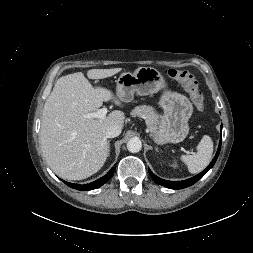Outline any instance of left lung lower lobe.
<instances>
[{
	"label": "left lung lower lobe",
	"mask_w": 253,
	"mask_h": 253,
	"mask_svg": "<svg viewBox=\"0 0 253 253\" xmlns=\"http://www.w3.org/2000/svg\"><path fill=\"white\" fill-rule=\"evenodd\" d=\"M221 141H222V136H221V139H220V142H219V147H218L217 153H216L215 157L213 158L212 162L209 164V166L205 170H203L201 173H199L198 175H196V176H194L190 179H187V180H184V181H167V180H164V179H161V178L157 177L156 175H154L151 172L150 169H148L149 174L151 175V177L153 178V180L156 183H158L162 186H165L167 188H170V189H183V188L189 187V186L193 185L194 183H196L200 178H202L209 171L210 168L213 167V165L215 164V162L218 158V155L220 153Z\"/></svg>",
	"instance_id": "obj_1"
}]
</instances>
